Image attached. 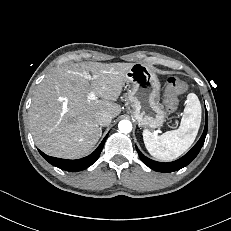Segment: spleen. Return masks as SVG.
I'll return each mask as SVG.
<instances>
[{"instance_id":"1","label":"spleen","mask_w":231,"mask_h":231,"mask_svg":"<svg viewBox=\"0 0 231 231\" xmlns=\"http://www.w3.org/2000/svg\"><path fill=\"white\" fill-rule=\"evenodd\" d=\"M201 122V105L196 94L187 96L178 129L162 135L144 130L143 140L148 152L161 161H172L183 154L194 142Z\"/></svg>"}]
</instances>
